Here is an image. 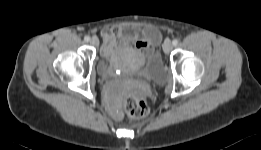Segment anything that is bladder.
I'll use <instances>...</instances> for the list:
<instances>
[{
    "label": "bladder",
    "mask_w": 261,
    "mask_h": 150,
    "mask_svg": "<svg viewBox=\"0 0 261 150\" xmlns=\"http://www.w3.org/2000/svg\"><path fill=\"white\" fill-rule=\"evenodd\" d=\"M136 56L137 52L126 44L105 48L100 54L98 72L107 77L140 74L155 82L165 80V66L158 50L149 52L142 64L137 63Z\"/></svg>",
    "instance_id": "bladder-1"
}]
</instances>
